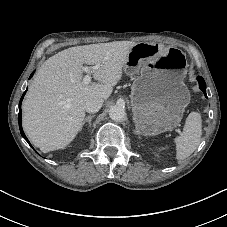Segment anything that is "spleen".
I'll list each match as a JSON object with an SVG mask.
<instances>
[{
  "label": "spleen",
  "mask_w": 227,
  "mask_h": 227,
  "mask_svg": "<svg viewBox=\"0 0 227 227\" xmlns=\"http://www.w3.org/2000/svg\"><path fill=\"white\" fill-rule=\"evenodd\" d=\"M202 135V119L198 112H191L185 122L183 132L176 137V158L183 160L189 157L198 147Z\"/></svg>",
  "instance_id": "spleen-1"
}]
</instances>
